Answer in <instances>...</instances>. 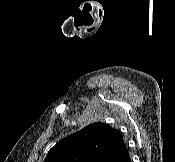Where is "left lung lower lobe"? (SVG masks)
Masks as SVG:
<instances>
[{"label":"left lung lower lobe","mask_w":175,"mask_h":162,"mask_svg":"<svg viewBox=\"0 0 175 162\" xmlns=\"http://www.w3.org/2000/svg\"><path fill=\"white\" fill-rule=\"evenodd\" d=\"M105 162H131L128 149L124 142L119 144L105 160Z\"/></svg>","instance_id":"0a47b994"}]
</instances>
